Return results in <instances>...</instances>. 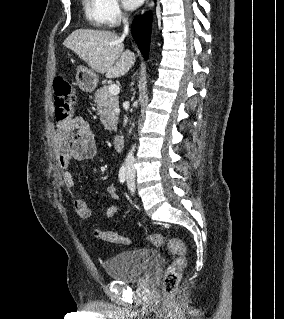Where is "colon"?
Wrapping results in <instances>:
<instances>
[{"mask_svg":"<svg viewBox=\"0 0 284 319\" xmlns=\"http://www.w3.org/2000/svg\"><path fill=\"white\" fill-rule=\"evenodd\" d=\"M54 107L57 122L70 120L74 113L76 94L72 85L62 76H57L53 81ZM96 236L104 241L128 245L130 238L113 232H96ZM152 245L160 247L167 245L175 256L172 264L167 268L164 281L163 292L171 295L180 280L181 271L186 265V249L184 244L171 236L164 234H151L146 238Z\"/></svg>","mask_w":284,"mask_h":319,"instance_id":"colon-1","label":"colon"}]
</instances>
